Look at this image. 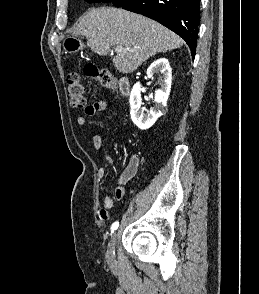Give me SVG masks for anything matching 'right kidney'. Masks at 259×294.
Here are the masks:
<instances>
[{
	"label": "right kidney",
	"mask_w": 259,
	"mask_h": 294,
	"mask_svg": "<svg viewBox=\"0 0 259 294\" xmlns=\"http://www.w3.org/2000/svg\"><path fill=\"white\" fill-rule=\"evenodd\" d=\"M155 73L162 75L161 88L155 92V105L150 111H146L142 107L141 85L139 82L133 86L130 94L131 119L141 130L150 128L163 115L171 90L172 70L168 59L159 58L154 61L147 69V78H152Z\"/></svg>",
	"instance_id": "right-kidney-1"
}]
</instances>
